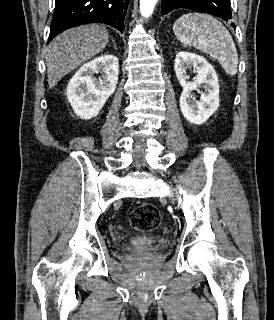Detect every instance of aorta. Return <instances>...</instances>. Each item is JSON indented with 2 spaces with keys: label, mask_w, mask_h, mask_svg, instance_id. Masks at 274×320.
Here are the masks:
<instances>
[{
  "label": "aorta",
  "mask_w": 274,
  "mask_h": 320,
  "mask_svg": "<svg viewBox=\"0 0 274 320\" xmlns=\"http://www.w3.org/2000/svg\"><path fill=\"white\" fill-rule=\"evenodd\" d=\"M158 0H140L141 15L148 18L154 11L155 5Z\"/></svg>",
  "instance_id": "obj_1"
}]
</instances>
